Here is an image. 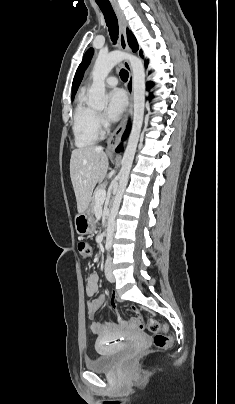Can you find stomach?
Listing matches in <instances>:
<instances>
[{"label": "stomach", "mask_w": 235, "mask_h": 404, "mask_svg": "<svg viewBox=\"0 0 235 404\" xmlns=\"http://www.w3.org/2000/svg\"><path fill=\"white\" fill-rule=\"evenodd\" d=\"M76 232L83 236L92 233L95 229V220L90 207L84 212L78 213L75 217Z\"/></svg>", "instance_id": "obj_1"}]
</instances>
